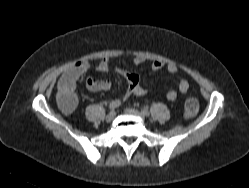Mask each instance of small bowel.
<instances>
[{"instance_id":"obj_1","label":"small bowel","mask_w":249,"mask_h":188,"mask_svg":"<svg viewBox=\"0 0 249 188\" xmlns=\"http://www.w3.org/2000/svg\"><path fill=\"white\" fill-rule=\"evenodd\" d=\"M132 61L135 65H141L144 62V59L140 56H134ZM110 66L111 65L109 59L104 58L99 62L96 69L98 72L104 73L110 69ZM89 68L90 65L86 61H79L75 63L73 66L69 67L62 74V76L58 81V90L70 91L72 94H74V91L76 90L81 77L89 70ZM115 69L119 74H121L127 80L128 83V87L123 95L124 101L132 96H144L147 94V91L140 85V78L136 73L126 70L120 63L115 64ZM151 69L153 71L166 69L169 73L179 76V69L173 63L166 64L162 61L156 60L152 62ZM86 86L89 90L95 92L108 91L111 88V82L107 79L95 80L92 78H87ZM178 90L182 94L187 93V91L189 90L188 81L180 76L178 82ZM166 96L169 101L172 102L175 101L177 99V90L174 87H170L167 91Z\"/></svg>"}]
</instances>
